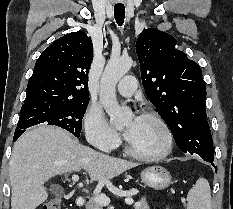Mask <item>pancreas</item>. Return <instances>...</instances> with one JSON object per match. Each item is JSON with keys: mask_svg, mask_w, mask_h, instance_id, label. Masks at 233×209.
I'll return each mask as SVG.
<instances>
[{"mask_svg": "<svg viewBox=\"0 0 233 209\" xmlns=\"http://www.w3.org/2000/svg\"><path fill=\"white\" fill-rule=\"evenodd\" d=\"M135 209H149L146 199L141 198L135 205ZM85 209H103V205L98 204L94 198H91L85 205Z\"/></svg>", "mask_w": 233, "mask_h": 209, "instance_id": "obj_1", "label": "pancreas"}]
</instances>
